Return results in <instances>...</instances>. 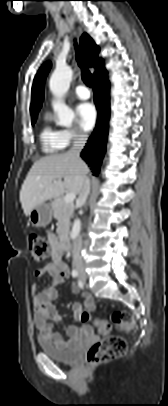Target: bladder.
Instances as JSON below:
<instances>
[{"instance_id": "bladder-1", "label": "bladder", "mask_w": 168, "mask_h": 406, "mask_svg": "<svg viewBox=\"0 0 168 406\" xmlns=\"http://www.w3.org/2000/svg\"><path fill=\"white\" fill-rule=\"evenodd\" d=\"M38 343L43 353H45L52 359L65 364L75 363L80 359L83 352L82 344L73 346H57L53 343H50L42 335L38 336Z\"/></svg>"}]
</instances>
